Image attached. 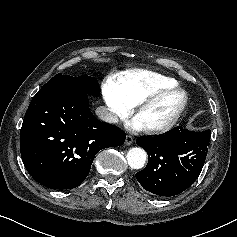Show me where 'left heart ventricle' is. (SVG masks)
I'll list each match as a JSON object with an SVG mask.
<instances>
[{
	"instance_id": "b2bd125f",
	"label": "left heart ventricle",
	"mask_w": 237,
	"mask_h": 237,
	"mask_svg": "<svg viewBox=\"0 0 237 237\" xmlns=\"http://www.w3.org/2000/svg\"><path fill=\"white\" fill-rule=\"evenodd\" d=\"M181 100L182 95L178 93L168 95L156 104L144 109L136 118L144 127L162 124L176 111Z\"/></svg>"
}]
</instances>
